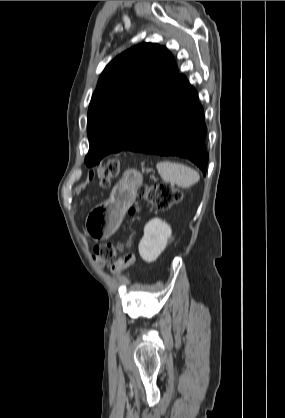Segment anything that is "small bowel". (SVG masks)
<instances>
[{"mask_svg": "<svg viewBox=\"0 0 285 418\" xmlns=\"http://www.w3.org/2000/svg\"><path fill=\"white\" fill-rule=\"evenodd\" d=\"M133 260L134 259H132V262H133ZM121 261H122V259H120L119 261H117L112 267H111V269L113 270V271H117V267L119 266V264L121 263Z\"/></svg>", "mask_w": 285, "mask_h": 418, "instance_id": "obj_1", "label": "small bowel"}]
</instances>
